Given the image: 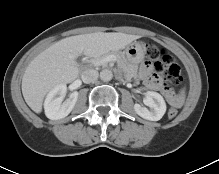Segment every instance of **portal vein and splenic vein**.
Masks as SVG:
<instances>
[{
	"mask_svg": "<svg viewBox=\"0 0 219 174\" xmlns=\"http://www.w3.org/2000/svg\"><path fill=\"white\" fill-rule=\"evenodd\" d=\"M108 61H109V58H106V59H104V60H102V61L94 62V64H95V65H100V64H104V63H106V62H108Z\"/></svg>",
	"mask_w": 219,
	"mask_h": 174,
	"instance_id": "obj_1",
	"label": "portal vein and splenic vein"
}]
</instances>
